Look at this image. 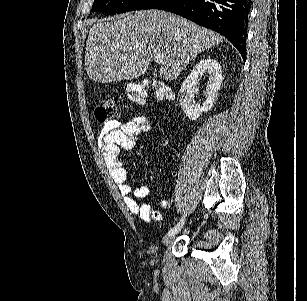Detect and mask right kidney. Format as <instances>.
Returning <instances> with one entry per match:
<instances>
[{"mask_svg":"<svg viewBox=\"0 0 307 301\" xmlns=\"http://www.w3.org/2000/svg\"><path fill=\"white\" fill-rule=\"evenodd\" d=\"M203 72H208L209 80L208 86H206L207 98L204 100L202 106H200V104H195L192 100L194 98V90L197 88L198 80ZM221 84L222 68L217 60H214V58H202V60H199V62L195 64L190 74H188L187 78L182 82L178 92L181 108L190 120H197L202 112L211 110L212 106L215 104Z\"/></svg>","mask_w":307,"mask_h":301,"instance_id":"obj_1","label":"right kidney"}]
</instances>
